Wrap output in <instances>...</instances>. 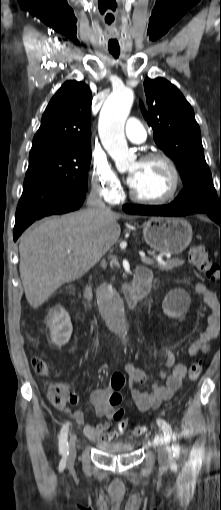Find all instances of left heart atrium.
I'll return each mask as SVG.
<instances>
[{
    "instance_id": "1",
    "label": "left heart atrium",
    "mask_w": 221,
    "mask_h": 510,
    "mask_svg": "<svg viewBox=\"0 0 221 510\" xmlns=\"http://www.w3.org/2000/svg\"><path fill=\"white\" fill-rule=\"evenodd\" d=\"M133 179H134L133 175H129V177H128V183L130 184V186H131V184H132V182H133Z\"/></svg>"
}]
</instances>
